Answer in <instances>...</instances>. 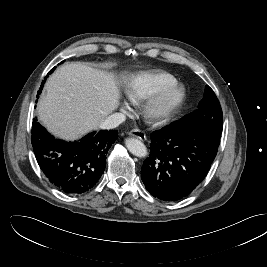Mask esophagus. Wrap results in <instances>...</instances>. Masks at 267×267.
I'll return each instance as SVG.
<instances>
[{"mask_svg": "<svg viewBox=\"0 0 267 267\" xmlns=\"http://www.w3.org/2000/svg\"><path fill=\"white\" fill-rule=\"evenodd\" d=\"M130 136L138 138L142 141L146 140V135L143 131L139 130V129H133L128 133Z\"/></svg>", "mask_w": 267, "mask_h": 267, "instance_id": "esophagus-1", "label": "esophagus"}]
</instances>
